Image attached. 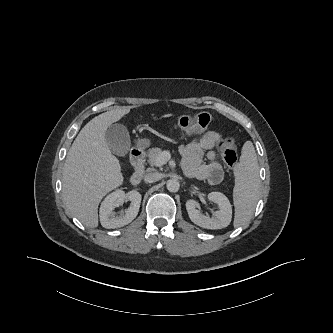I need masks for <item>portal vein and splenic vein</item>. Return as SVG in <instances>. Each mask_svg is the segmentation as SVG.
<instances>
[{
  "label": "portal vein and splenic vein",
  "mask_w": 333,
  "mask_h": 333,
  "mask_svg": "<svg viewBox=\"0 0 333 333\" xmlns=\"http://www.w3.org/2000/svg\"><path fill=\"white\" fill-rule=\"evenodd\" d=\"M171 158V155L168 151H163L157 158L158 166L166 164Z\"/></svg>",
  "instance_id": "portal-vein-and-splenic-vein-1"
}]
</instances>
